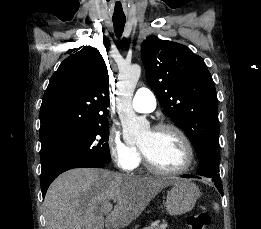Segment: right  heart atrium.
Listing matches in <instances>:
<instances>
[{
  "label": "right heart atrium",
  "instance_id": "d8ad5b80",
  "mask_svg": "<svg viewBox=\"0 0 261 229\" xmlns=\"http://www.w3.org/2000/svg\"><path fill=\"white\" fill-rule=\"evenodd\" d=\"M107 145L112 160L116 166L124 172L135 171L141 162L138 148L125 142L114 130H110L107 136Z\"/></svg>",
  "mask_w": 261,
  "mask_h": 229
}]
</instances>
